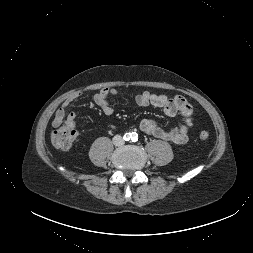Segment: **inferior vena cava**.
I'll list each match as a JSON object with an SVG mask.
<instances>
[{
    "label": "inferior vena cava",
    "mask_w": 253,
    "mask_h": 253,
    "mask_svg": "<svg viewBox=\"0 0 253 253\" xmlns=\"http://www.w3.org/2000/svg\"><path fill=\"white\" fill-rule=\"evenodd\" d=\"M113 143L114 145L116 146H121L124 144V140L122 139V137L120 135H116L114 138H113Z\"/></svg>",
    "instance_id": "inferior-vena-cava-1"
}]
</instances>
